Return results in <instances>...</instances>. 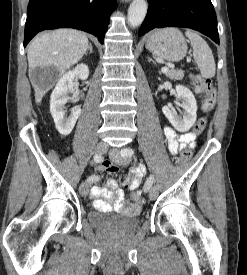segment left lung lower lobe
Here are the masks:
<instances>
[{
  "label": "left lung lower lobe",
  "mask_w": 247,
  "mask_h": 275,
  "mask_svg": "<svg viewBox=\"0 0 247 275\" xmlns=\"http://www.w3.org/2000/svg\"><path fill=\"white\" fill-rule=\"evenodd\" d=\"M149 8L139 36L154 28L197 30L219 44L217 18L211 0H148Z\"/></svg>",
  "instance_id": "obj_1"
}]
</instances>
